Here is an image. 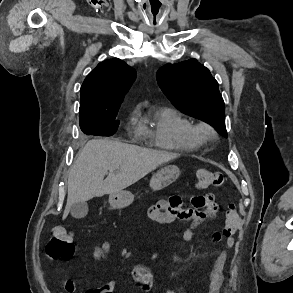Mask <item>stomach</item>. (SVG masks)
<instances>
[{"label":"stomach","mask_w":293,"mask_h":293,"mask_svg":"<svg viewBox=\"0 0 293 293\" xmlns=\"http://www.w3.org/2000/svg\"><path fill=\"white\" fill-rule=\"evenodd\" d=\"M180 170L177 166L169 165L160 169L150 180V187L157 191L166 188L179 176ZM134 200V195L129 191H120L109 195V203L113 209H121L129 206Z\"/></svg>","instance_id":"0dacf381"}]
</instances>
